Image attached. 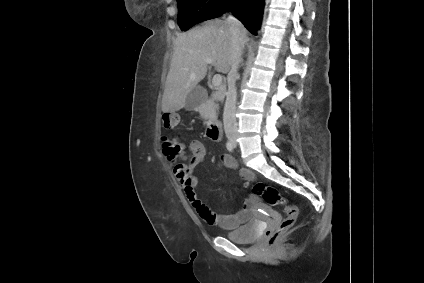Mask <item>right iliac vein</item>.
Segmentation results:
<instances>
[{
    "mask_svg": "<svg viewBox=\"0 0 424 283\" xmlns=\"http://www.w3.org/2000/svg\"><path fill=\"white\" fill-rule=\"evenodd\" d=\"M228 138H229L230 142H232V143L236 142V136L235 135H229Z\"/></svg>",
    "mask_w": 424,
    "mask_h": 283,
    "instance_id": "right-iliac-vein-1",
    "label": "right iliac vein"
}]
</instances>
